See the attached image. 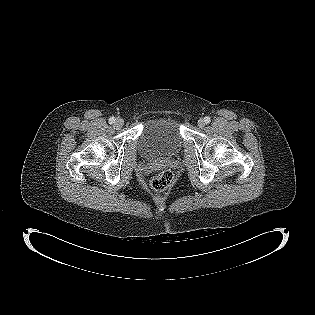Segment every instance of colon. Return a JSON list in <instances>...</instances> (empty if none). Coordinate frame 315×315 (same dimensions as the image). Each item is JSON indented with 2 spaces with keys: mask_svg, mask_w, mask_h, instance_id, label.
Here are the masks:
<instances>
[{
  "mask_svg": "<svg viewBox=\"0 0 315 315\" xmlns=\"http://www.w3.org/2000/svg\"><path fill=\"white\" fill-rule=\"evenodd\" d=\"M173 181V172L170 170H163L151 178L150 185L154 190L163 191L169 188Z\"/></svg>",
  "mask_w": 315,
  "mask_h": 315,
  "instance_id": "colon-1",
  "label": "colon"
}]
</instances>
